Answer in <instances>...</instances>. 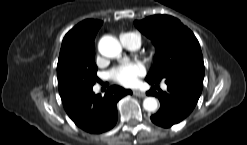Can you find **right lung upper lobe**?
I'll use <instances>...</instances> for the list:
<instances>
[{"instance_id":"cb5924a9","label":"right lung upper lobe","mask_w":247,"mask_h":145,"mask_svg":"<svg viewBox=\"0 0 247 145\" xmlns=\"http://www.w3.org/2000/svg\"><path fill=\"white\" fill-rule=\"evenodd\" d=\"M102 22L87 19L72 28L64 37L61 49L73 47L81 51L94 52V39Z\"/></svg>"}]
</instances>
